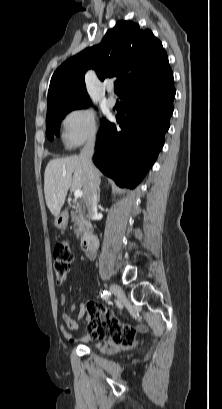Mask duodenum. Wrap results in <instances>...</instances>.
<instances>
[{
	"instance_id": "1",
	"label": "duodenum",
	"mask_w": 222,
	"mask_h": 409,
	"mask_svg": "<svg viewBox=\"0 0 222 409\" xmlns=\"http://www.w3.org/2000/svg\"><path fill=\"white\" fill-rule=\"evenodd\" d=\"M82 246L88 255L94 254V252L98 249L99 246L97 236L94 234L84 235L82 239Z\"/></svg>"
}]
</instances>
